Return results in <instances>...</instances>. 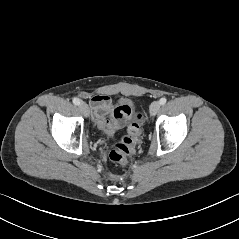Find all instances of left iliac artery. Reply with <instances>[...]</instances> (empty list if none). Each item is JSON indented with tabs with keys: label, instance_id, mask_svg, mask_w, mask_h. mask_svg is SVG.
Masks as SVG:
<instances>
[{
	"label": "left iliac artery",
	"instance_id": "obj_1",
	"mask_svg": "<svg viewBox=\"0 0 239 239\" xmlns=\"http://www.w3.org/2000/svg\"><path fill=\"white\" fill-rule=\"evenodd\" d=\"M166 102H167V99H166L165 97H163V98H161V99L159 100V103H160L161 105H164Z\"/></svg>",
	"mask_w": 239,
	"mask_h": 239
}]
</instances>
